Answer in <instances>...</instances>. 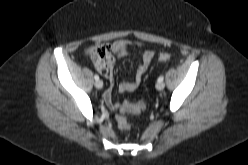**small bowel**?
I'll use <instances>...</instances> for the list:
<instances>
[{"instance_id":"c3829d8e","label":"small bowel","mask_w":248,"mask_h":165,"mask_svg":"<svg viewBox=\"0 0 248 165\" xmlns=\"http://www.w3.org/2000/svg\"><path fill=\"white\" fill-rule=\"evenodd\" d=\"M130 46L134 48H139V49L144 48V44L141 42H130L127 40H117L113 42L112 49L114 53H116L117 55H122L125 52V50ZM153 56H154V52L150 49H143L141 51V61L136 71L134 79L130 82L119 83L118 84L119 92L121 93L131 92V91H134L140 85L141 80L153 59ZM103 74L106 76L108 80V88L105 91V99L107 101H111L112 90L115 86V76H114L112 67L108 71L103 72Z\"/></svg>"}]
</instances>
